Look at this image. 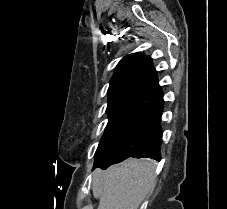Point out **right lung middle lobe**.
I'll return each instance as SVG.
<instances>
[{
    "label": "right lung middle lobe",
    "instance_id": "right-lung-middle-lobe-1",
    "mask_svg": "<svg viewBox=\"0 0 227 209\" xmlns=\"http://www.w3.org/2000/svg\"><path fill=\"white\" fill-rule=\"evenodd\" d=\"M108 113V124L95 153V167L107 164V159L121 146L136 136L149 122L153 108L131 100L115 103Z\"/></svg>",
    "mask_w": 227,
    "mask_h": 209
}]
</instances>
